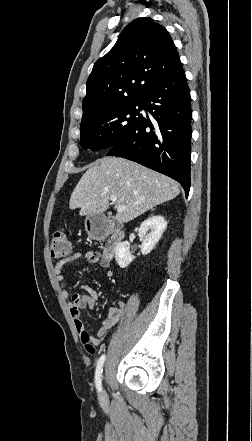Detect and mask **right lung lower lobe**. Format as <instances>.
Here are the masks:
<instances>
[{
  "label": "right lung lower lobe",
  "instance_id": "right-lung-lower-lobe-1",
  "mask_svg": "<svg viewBox=\"0 0 252 441\" xmlns=\"http://www.w3.org/2000/svg\"><path fill=\"white\" fill-rule=\"evenodd\" d=\"M143 117L107 156H120L177 180L186 197L190 189L191 119L190 90L179 61L142 98Z\"/></svg>",
  "mask_w": 252,
  "mask_h": 441
}]
</instances>
